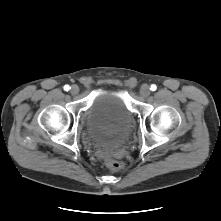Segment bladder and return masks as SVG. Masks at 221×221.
<instances>
[{
  "instance_id": "1",
  "label": "bladder",
  "mask_w": 221,
  "mask_h": 221,
  "mask_svg": "<svg viewBox=\"0 0 221 221\" xmlns=\"http://www.w3.org/2000/svg\"><path fill=\"white\" fill-rule=\"evenodd\" d=\"M133 113L123 94L101 88L94 94L85 120V133L102 149L114 152L132 131Z\"/></svg>"
}]
</instances>
